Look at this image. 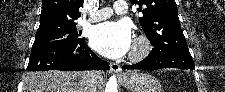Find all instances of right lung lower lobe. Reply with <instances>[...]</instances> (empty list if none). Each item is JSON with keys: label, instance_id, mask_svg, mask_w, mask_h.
<instances>
[{"label": "right lung lower lobe", "instance_id": "obj_1", "mask_svg": "<svg viewBox=\"0 0 225 92\" xmlns=\"http://www.w3.org/2000/svg\"><path fill=\"white\" fill-rule=\"evenodd\" d=\"M28 70H108L109 64L101 60L86 45L85 38L77 43L50 46L31 51Z\"/></svg>", "mask_w": 225, "mask_h": 92}]
</instances>
